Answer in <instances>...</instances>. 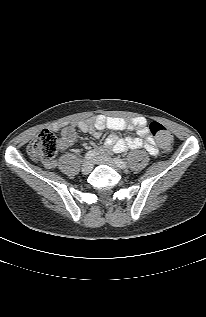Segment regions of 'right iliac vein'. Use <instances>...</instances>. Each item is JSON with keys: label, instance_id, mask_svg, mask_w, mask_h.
<instances>
[{"label": "right iliac vein", "instance_id": "63e3f726", "mask_svg": "<svg viewBox=\"0 0 206 317\" xmlns=\"http://www.w3.org/2000/svg\"><path fill=\"white\" fill-rule=\"evenodd\" d=\"M93 168V164L91 161H85L82 165V173L89 174Z\"/></svg>", "mask_w": 206, "mask_h": 317}]
</instances>
